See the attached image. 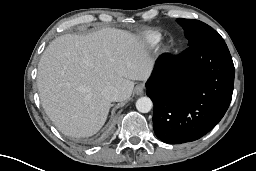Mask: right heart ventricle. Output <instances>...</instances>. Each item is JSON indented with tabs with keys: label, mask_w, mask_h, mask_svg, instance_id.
Segmentation results:
<instances>
[{
	"label": "right heart ventricle",
	"mask_w": 256,
	"mask_h": 171,
	"mask_svg": "<svg viewBox=\"0 0 256 171\" xmlns=\"http://www.w3.org/2000/svg\"><path fill=\"white\" fill-rule=\"evenodd\" d=\"M161 40V34L156 31L148 32L145 36V41L149 46H155Z\"/></svg>",
	"instance_id": "obj_1"
}]
</instances>
